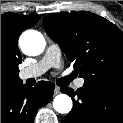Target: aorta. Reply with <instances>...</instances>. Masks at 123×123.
<instances>
[{
    "instance_id": "762f6f07",
    "label": "aorta",
    "mask_w": 123,
    "mask_h": 123,
    "mask_svg": "<svg viewBox=\"0 0 123 123\" xmlns=\"http://www.w3.org/2000/svg\"><path fill=\"white\" fill-rule=\"evenodd\" d=\"M44 36L35 30H28L20 37V47L24 54L29 56H37L45 49ZM72 100L66 94H59L54 98L53 107L61 114H67L72 109Z\"/></svg>"
}]
</instances>
